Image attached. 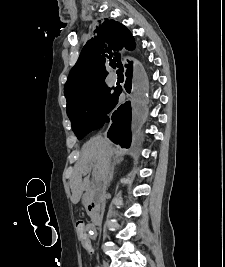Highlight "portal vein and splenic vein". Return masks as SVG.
<instances>
[{"label": "portal vein and splenic vein", "mask_w": 225, "mask_h": 267, "mask_svg": "<svg viewBox=\"0 0 225 267\" xmlns=\"http://www.w3.org/2000/svg\"><path fill=\"white\" fill-rule=\"evenodd\" d=\"M93 174H94V176L96 177V175H97V172H96V171H94V173H93Z\"/></svg>", "instance_id": "obj_1"}]
</instances>
